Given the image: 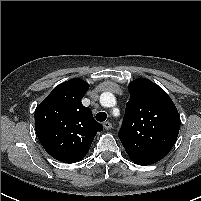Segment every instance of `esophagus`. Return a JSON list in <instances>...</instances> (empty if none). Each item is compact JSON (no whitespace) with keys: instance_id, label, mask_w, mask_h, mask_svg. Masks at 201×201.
Segmentation results:
<instances>
[{"instance_id":"obj_1","label":"esophagus","mask_w":201,"mask_h":201,"mask_svg":"<svg viewBox=\"0 0 201 201\" xmlns=\"http://www.w3.org/2000/svg\"><path fill=\"white\" fill-rule=\"evenodd\" d=\"M103 126L106 130H110L112 128V124L110 122H104Z\"/></svg>"}]
</instances>
